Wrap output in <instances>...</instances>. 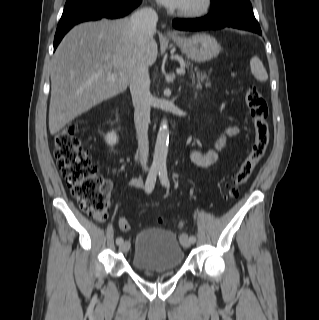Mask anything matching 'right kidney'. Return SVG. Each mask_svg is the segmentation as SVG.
Wrapping results in <instances>:
<instances>
[{"label":"right kidney","instance_id":"1","mask_svg":"<svg viewBox=\"0 0 319 320\" xmlns=\"http://www.w3.org/2000/svg\"><path fill=\"white\" fill-rule=\"evenodd\" d=\"M108 145L113 146L117 143L118 137L114 131L108 133L105 137Z\"/></svg>","mask_w":319,"mask_h":320}]
</instances>
